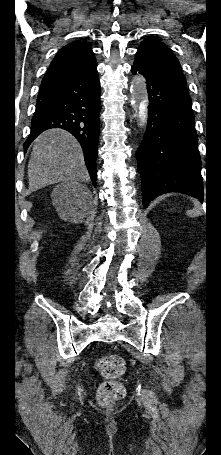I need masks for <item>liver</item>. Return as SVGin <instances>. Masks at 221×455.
<instances>
[{
	"label": "liver",
	"instance_id": "obj_1",
	"mask_svg": "<svg viewBox=\"0 0 221 455\" xmlns=\"http://www.w3.org/2000/svg\"><path fill=\"white\" fill-rule=\"evenodd\" d=\"M87 180L82 149L69 132L55 128L37 137L28 163L29 191L63 181Z\"/></svg>",
	"mask_w": 221,
	"mask_h": 455
}]
</instances>
